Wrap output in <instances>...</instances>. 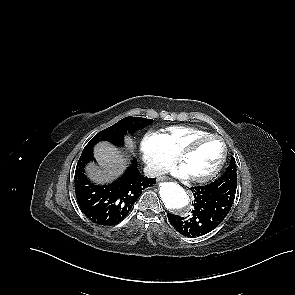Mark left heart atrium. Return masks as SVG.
<instances>
[{"mask_svg":"<svg viewBox=\"0 0 295 295\" xmlns=\"http://www.w3.org/2000/svg\"><path fill=\"white\" fill-rule=\"evenodd\" d=\"M172 173L178 177H187L188 173L186 169L183 167V165L176 167L172 170Z\"/></svg>","mask_w":295,"mask_h":295,"instance_id":"obj_1","label":"left heart atrium"}]
</instances>
